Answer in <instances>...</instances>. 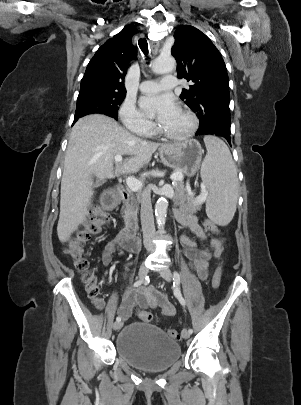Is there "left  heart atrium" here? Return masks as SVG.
I'll return each instance as SVG.
<instances>
[{
    "label": "left heart atrium",
    "instance_id": "1",
    "mask_svg": "<svg viewBox=\"0 0 301 405\" xmlns=\"http://www.w3.org/2000/svg\"><path fill=\"white\" fill-rule=\"evenodd\" d=\"M140 106L146 112L156 115L159 123H163L180 112V108L170 94L147 95L140 99Z\"/></svg>",
    "mask_w": 301,
    "mask_h": 405
}]
</instances>
